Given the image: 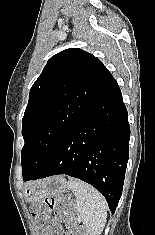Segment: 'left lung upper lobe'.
<instances>
[{
  "instance_id": "obj_1",
  "label": "left lung upper lobe",
  "mask_w": 155,
  "mask_h": 235,
  "mask_svg": "<svg viewBox=\"0 0 155 235\" xmlns=\"http://www.w3.org/2000/svg\"><path fill=\"white\" fill-rule=\"evenodd\" d=\"M112 80L101 61L81 49L69 48L49 59L31 87L22 120L23 178L43 167Z\"/></svg>"
}]
</instances>
